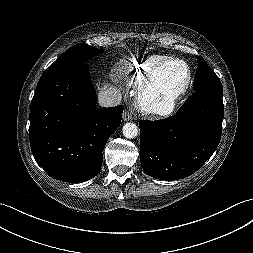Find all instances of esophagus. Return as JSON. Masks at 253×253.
Instances as JSON below:
<instances>
[{
	"label": "esophagus",
	"instance_id": "34e87169",
	"mask_svg": "<svg viewBox=\"0 0 253 253\" xmlns=\"http://www.w3.org/2000/svg\"><path fill=\"white\" fill-rule=\"evenodd\" d=\"M122 118H123L124 121H130V120L133 119V116H132V114H131V112L129 110H125L123 112Z\"/></svg>",
	"mask_w": 253,
	"mask_h": 253
}]
</instances>
